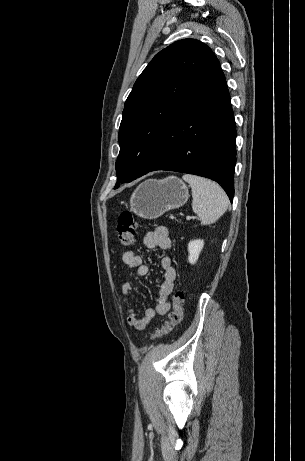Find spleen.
I'll list each match as a JSON object with an SVG mask.
<instances>
[{
	"label": "spleen",
	"mask_w": 305,
	"mask_h": 461,
	"mask_svg": "<svg viewBox=\"0 0 305 461\" xmlns=\"http://www.w3.org/2000/svg\"><path fill=\"white\" fill-rule=\"evenodd\" d=\"M182 178L191 186L192 209L201 225L215 223L228 208L229 200L224 190L216 182L200 176L185 174Z\"/></svg>",
	"instance_id": "3e777b00"
}]
</instances>
